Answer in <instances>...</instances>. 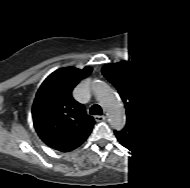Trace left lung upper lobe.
I'll list each match as a JSON object with an SVG mask.
<instances>
[{"label":"left lung upper lobe","mask_w":190,"mask_h":188,"mask_svg":"<svg viewBox=\"0 0 190 188\" xmlns=\"http://www.w3.org/2000/svg\"><path fill=\"white\" fill-rule=\"evenodd\" d=\"M102 73L118 90L125 105L126 124L154 131L169 126L170 95L152 70L124 61L105 66Z\"/></svg>","instance_id":"obj_1"}]
</instances>
